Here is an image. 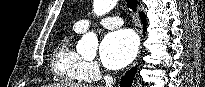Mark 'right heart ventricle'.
Segmentation results:
<instances>
[{"label":"right heart ventricle","mask_w":205,"mask_h":87,"mask_svg":"<svg viewBox=\"0 0 205 87\" xmlns=\"http://www.w3.org/2000/svg\"><path fill=\"white\" fill-rule=\"evenodd\" d=\"M73 33H80V31L73 28ZM72 36V33L63 36L55 46L51 69L53 74L61 81L83 82L87 80L83 73L85 61L72 47Z\"/></svg>","instance_id":"right-heart-ventricle-1"}]
</instances>
